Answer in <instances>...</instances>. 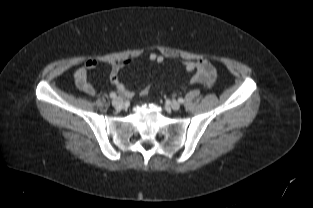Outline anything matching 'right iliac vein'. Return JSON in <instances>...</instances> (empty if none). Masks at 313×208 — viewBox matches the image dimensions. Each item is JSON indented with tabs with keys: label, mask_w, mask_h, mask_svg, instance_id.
I'll use <instances>...</instances> for the list:
<instances>
[{
	"label": "right iliac vein",
	"mask_w": 313,
	"mask_h": 208,
	"mask_svg": "<svg viewBox=\"0 0 313 208\" xmlns=\"http://www.w3.org/2000/svg\"><path fill=\"white\" fill-rule=\"evenodd\" d=\"M112 105L116 110H121L124 107V101L122 98L117 97L112 101Z\"/></svg>",
	"instance_id": "1"
}]
</instances>
